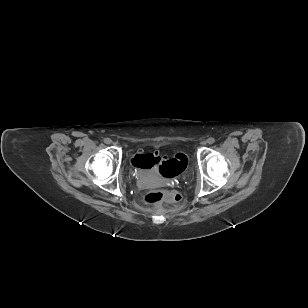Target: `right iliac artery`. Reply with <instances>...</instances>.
Wrapping results in <instances>:
<instances>
[{"mask_svg":"<svg viewBox=\"0 0 308 308\" xmlns=\"http://www.w3.org/2000/svg\"><path fill=\"white\" fill-rule=\"evenodd\" d=\"M104 142H105L106 144H110L112 141H111V139H109V138H105V139H104Z\"/></svg>","mask_w":308,"mask_h":308,"instance_id":"obj_1","label":"right iliac artery"}]
</instances>
